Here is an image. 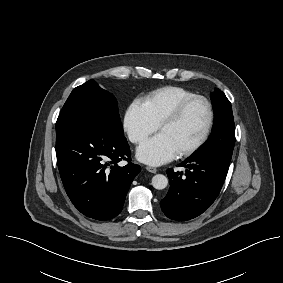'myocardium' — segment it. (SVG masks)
Wrapping results in <instances>:
<instances>
[{
  "label": "myocardium",
  "instance_id": "1",
  "mask_svg": "<svg viewBox=\"0 0 283 283\" xmlns=\"http://www.w3.org/2000/svg\"><path fill=\"white\" fill-rule=\"evenodd\" d=\"M197 101H201L203 102L208 110V121H207V125L206 128L203 132V134L201 135V137L192 145H190L189 147L183 149L182 151H180L178 153V155L180 157H186L189 156L193 153H195L197 150H199L204 143L207 141L213 125H214V119H215V113H214V108L213 105L211 103V101L202 95H194L190 98L185 99L184 101H182L175 109L174 111L169 114L167 117H165L161 123L159 124V130H161L162 128L168 126V125H172L177 123L184 115V113L186 112V110L188 109V107L190 105H192L194 102Z\"/></svg>",
  "mask_w": 283,
  "mask_h": 283
}]
</instances>
